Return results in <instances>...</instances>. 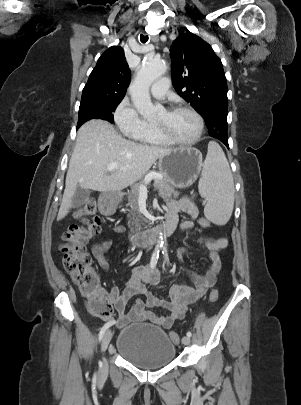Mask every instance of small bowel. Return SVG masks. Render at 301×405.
Segmentation results:
<instances>
[{
    "mask_svg": "<svg viewBox=\"0 0 301 405\" xmlns=\"http://www.w3.org/2000/svg\"><path fill=\"white\" fill-rule=\"evenodd\" d=\"M180 213H185L189 219L181 223V230H187L194 227L195 220L198 218L199 211L196 205L187 198L178 201H171L167 205L168 219L178 221ZM123 226H117L113 229L116 234H123ZM201 243L208 250L209 266L204 274H200L187 268V272L194 283V287L184 283L173 285L168 291L167 299H159L148 290L147 284L151 286L159 285V271L157 268L132 266L128 268L129 275L122 289L113 285L109 290H102L110 304H112L117 313L115 324L118 327H124L132 322L149 321L153 324L169 329L173 324L184 317L188 305L194 303L212 288L217 280V274L221 268L219 253L228 245L226 238L203 239ZM112 247V241L105 239L95 243L92 246V253L101 268L107 270L110 266L107 252ZM187 250L180 248L178 258L183 262V257ZM142 295L144 300H136L127 310L129 301L134 295ZM161 308L167 311V314H158L155 309ZM109 321V322H110Z\"/></svg>",
    "mask_w": 301,
    "mask_h": 405,
    "instance_id": "small-bowel-1",
    "label": "small bowel"
}]
</instances>
